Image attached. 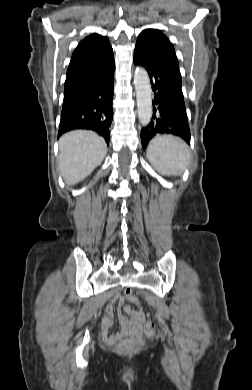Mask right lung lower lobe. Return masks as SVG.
Wrapping results in <instances>:
<instances>
[{
	"label": "right lung lower lobe",
	"mask_w": 252,
	"mask_h": 390,
	"mask_svg": "<svg viewBox=\"0 0 252 390\" xmlns=\"http://www.w3.org/2000/svg\"><path fill=\"white\" fill-rule=\"evenodd\" d=\"M114 69L115 64L103 76L64 89L58 137L69 130L90 129L103 136L109 144Z\"/></svg>",
	"instance_id": "right-lung-lower-lobe-1"
}]
</instances>
